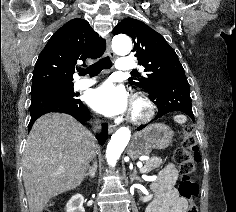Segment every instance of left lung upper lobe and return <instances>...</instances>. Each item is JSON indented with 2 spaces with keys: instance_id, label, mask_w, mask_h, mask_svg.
I'll list each match as a JSON object with an SVG mask.
<instances>
[{
  "instance_id": "left-lung-upper-lobe-1",
  "label": "left lung upper lobe",
  "mask_w": 236,
  "mask_h": 212,
  "mask_svg": "<svg viewBox=\"0 0 236 212\" xmlns=\"http://www.w3.org/2000/svg\"><path fill=\"white\" fill-rule=\"evenodd\" d=\"M127 34L134 42L135 56L138 63L145 67V76L130 78V83L146 90L150 95L156 94L166 83L185 77L182 64L177 54L164 37L144 22L126 18L113 29V34Z\"/></svg>"
}]
</instances>
